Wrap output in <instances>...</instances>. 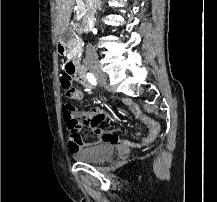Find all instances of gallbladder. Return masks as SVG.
Instances as JSON below:
<instances>
[{
    "mask_svg": "<svg viewBox=\"0 0 217 202\" xmlns=\"http://www.w3.org/2000/svg\"><path fill=\"white\" fill-rule=\"evenodd\" d=\"M61 42H64V44H67V42H70L72 38H74V34H72L71 30H65L63 34L60 36Z\"/></svg>",
    "mask_w": 217,
    "mask_h": 202,
    "instance_id": "obj_1",
    "label": "gallbladder"
}]
</instances>
